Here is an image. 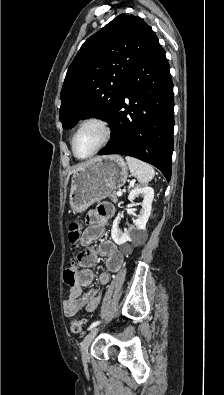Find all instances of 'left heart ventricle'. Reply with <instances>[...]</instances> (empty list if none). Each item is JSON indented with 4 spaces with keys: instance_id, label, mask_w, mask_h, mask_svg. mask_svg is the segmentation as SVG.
<instances>
[{
    "instance_id": "left-heart-ventricle-1",
    "label": "left heart ventricle",
    "mask_w": 224,
    "mask_h": 395,
    "mask_svg": "<svg viewBox=\"0 0 224 395\" xmlns=\"http://www.w3.org/2000/svg\"><path fill=\"white\" fill-rule=\"evenodd\" d=\"M102 133L99 127L89 125L76 137L75 151L79 157H86L94 151L101 141Z\"/></svg>"
}]
</instances>
